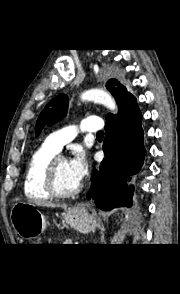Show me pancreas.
<instances>
[{"label": "pancreas", "mask_w": 180, "mask_h": 294, "mask_svg": "<svg viewBox=\"0 0 180 294\" xmlns=\"http://www.w3.org/2000/svg\"><path fill=\"white\" fill-rule=\"evenodd\" d=\"M65 244H71V242H66Z\"/></svg>", "instance_id": "cf45deb5"}]
</instances>
